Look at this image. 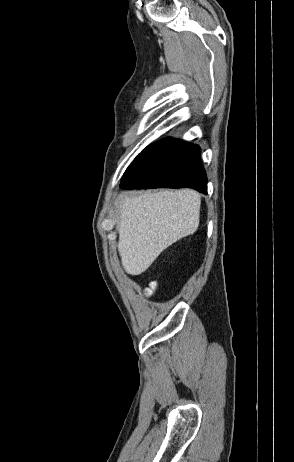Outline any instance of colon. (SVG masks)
I'll return each instance as SVG.
<instances>
[{
  "instance_id": "1",
  "label": "colon",
  "mask_w": 294,
  "mask_h": 462,
  "mask_svg": "<svg viewBox=\"0 0 294 462\" xmlns=\"http://www.w3.org/2000/svg\"><path fill=\"white\" fill-rule=\"evenodd\" d=\"M157 289V282L152 281L145 290L147 296L152 295Z\"/></svg>"
}]
</instances>
